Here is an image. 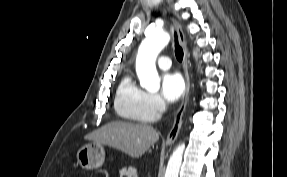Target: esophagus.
<instances>
[{
  "label": "esophagus",
  "instance_id": "obj_1",
  "mask_svg": "<svg viewBox=\"0 0 287 177\" xmlns=\"http://www.w3.org/2000/svg\"><path fill=\"white\" fill-rule=\"evenodd\" d=\"M173 24L176 27L181 45L183 47V52H184L183 69H184V76H185V93H184L183 101L175 114L173 127L166 138V144H172L178 137L180 128L182 126V117L186 110V105L189 99V91H190V77L188 73L189 53L187 49L185 34L183 32L181 24L178 21L173 19Z\"/></svg>",
  "mask_w": 287,
  "mask_h": 177
}]
</instances>
